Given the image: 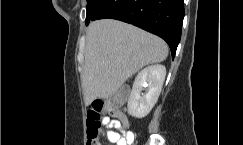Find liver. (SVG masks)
<instances>
[{
	"label": "liver",
	"mask_w": 243,
	"mask_h": 145,
	"mask_svg": "<svg viewBox=\"0 0 243 145\" xmlns=\"http://www.w3.org/2000/svg\"><path fill=\"white\" fill-rule=\"evenodd\" d=\"M167 56L162 39L133 25L113 19L90 23L82 73L85 104L108 99L141 68Z\"/></svg>",
	"instance_id": "liver-1"
}]
</instances>
